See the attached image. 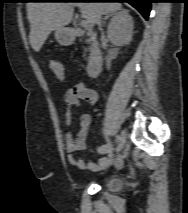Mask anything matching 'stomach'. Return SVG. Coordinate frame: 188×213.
<instances>
[{
    "label": "stomach",
    "mask_w": 188,
    "mask_h": 213,
    "mask_svg": "<svg viewBox=\"0 0 188 213\" xmlns=\"http://www.w3.org/2000/svg\"><path fill=\"white\" fill-rule=\"evenodd\" d=\"M55 38L58 43L62 46H69L74 41V36L70 29L68 28H59L55 31Z\"/></svg>",
    "instance_id": "1"
}]
</instances>
